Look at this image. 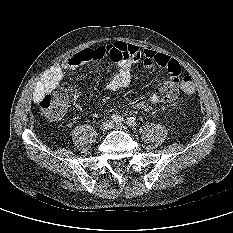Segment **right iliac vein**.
Here are the masks:
<instances>
[{
    "label": "right iliac vein",
    "mask_w": 233,
    "mask_h": 233,
    "mask_svg": "<svg viewBox=\"0 0 233 233\" xmlns=\"http://www.w3.org/2000/svg\"><path fill=\"white\" fill-rule=\"evenodd\" d=\"M112 127V122L109 120L104 121L101 126H100V130L101 131H107Z\"/></svg>",
    "instance_id": "1"
}]
</instances>
